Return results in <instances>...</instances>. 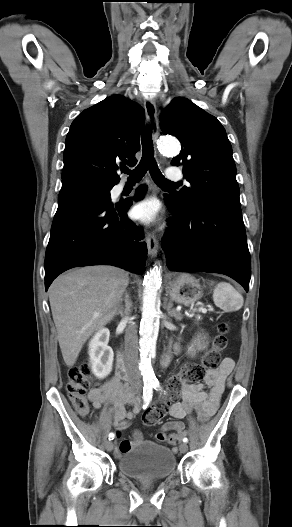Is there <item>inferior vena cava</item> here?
I'll return each mask as SVG.
<instances>
[{
  "instance_id": "inferior-vena-cava-1",
  "label": "inferior vena cava",
  "mask_w": 292,
  "mask_h": 527,
  "mask_svg": "<svg viewBox=\"0 0 292 527\" xmlns=\"http://www.w3.org/2000/svg\"><path fill=\"white\" fill-rule=\"evenodd\" d=\"M124 321L128 323L125 331V361L128 374L133 387L142 385L141 373L138 369V336L136 326L125 316Z\"/></svg>"
}]
</instances>
